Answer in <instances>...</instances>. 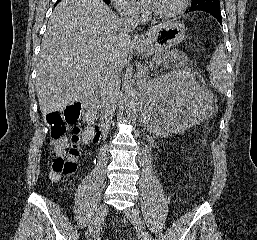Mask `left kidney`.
Instances as JSON below:
<instances>
[{
    "instance_id": "5707ae66",
    "label": "left kidney",
    "mask_w": 257,
    "mask_h": 240,
    "mask_svg": "<svg viewBox=\"0 0 257 240\" xmlns=\"http://www.w3.org/2000/svg\"><path fill=\"white\" fill-rule=\"evenodd\" d=\"M208 97L188 73L175 71L149 81L143 93L149 129L159 136L185 131L206 117Z\"/></svg>"
}]
</instances>
